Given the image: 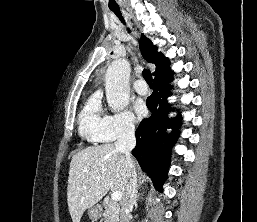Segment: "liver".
I'll list each match as a JSON object with an SVG mask.
<instances>
[{
  "label": "liver",
  "mask_w": 257,
  "mask_h": 222,
  "mask_svg": "<svg viewBox=\"0 0 257 222\" xmlns=\"http://www.w3.org/2000/svg\"><path fill=\"white\" fill-rule=\"evenodd\" d=\"M128 181L126 157L114 144L97 145L77 152L70 163L67 186L72 221L80 222L84 211L98 203L110 189L126 194Z\"/></svg>",
  "instance_id": "6515ba94"
}]
</instances>
